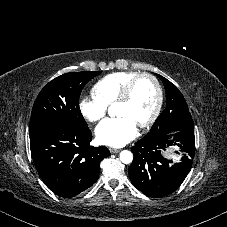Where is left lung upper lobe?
<instances>
[{"mask_svg": "<svg viewBox=\"0 0 227 227\" xmlns=\"http://www.w3.org/2000/svg\"><path fill=\"white\" fill-rule=\"evenodd\" d=\"M166 92V109L157 118L146 139L176 130L194 128L192 116L189 113L187 103L178 88L161 75Z\"/></svg>", "mask_w": 227, "mask_h": 227, "instance_id": "5c2ea615", "label": "left lung upper lobe"}]
</instances>
